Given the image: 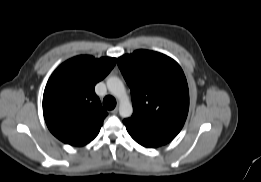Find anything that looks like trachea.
<instances>
[{
    "label": "trachea",
    "mask_w": 261,
    "mask_h": 182,
    "mask_svg": "<svg viewBox=\"0 0 261 182\" xmlns=\"http://www.w3.org/2000/svg\"><path fill=\"white\" fill-rule=\"evenodd\" d=\"M103 106L108 110L114 109L116 106L115 98L110 95H107L103 100Z\"/></svg>",
    "instance_id": "obj_1"
}]
</instances>
